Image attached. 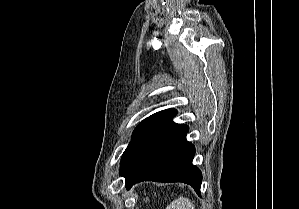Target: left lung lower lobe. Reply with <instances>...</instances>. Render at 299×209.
<instances>
[{"label":"left lung lower lobe","mask_w":299,"mask_h":209,"mask_svg":"<svg viewBox=\"0 0 299 209\" xmlns=\"http://www.w3.org/2000/svg\"><path fill=\"white\" fill-rule=\"evenodd\" d=\"M176 114L174 109L157 112L134 130L119 170L127 189L141 181L184 182L200 195L202 174L192 164L195 147L186 140L188 127L172 121Z\"/></svg>","instance_id":"0a47b994"}]
</instances>
